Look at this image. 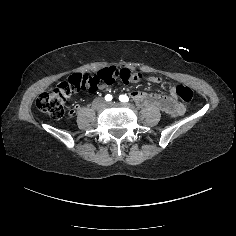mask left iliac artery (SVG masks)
I'll return each mask as SVG.
<instances>
[{"label": "left iliac artery", "mask_w": 236, "mask_h": 236, "mask_svg": "<svg viewBox=\"0 0 236 236\" xmlns=\"http://www.w3.org/2000/svg\"><path fill=\"white\" fill-rule=\"evenodd\" d=\"M119 100H120L121 102H128V101H129V98H128L127 95H120V96H119Z\"/></svg>", "instance_id": "left-iliac-artery-1"}]
</instances>
